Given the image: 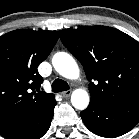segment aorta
Returning a JSON list of instances; mask_svg holds the SVG:
<instances>
[{
  "instance_id": "1",
  "label": "aorta",
  "mask_w": 139,
  "mask_h": 139,
  "mask_svg": "<svg viewBox=\"0 0 139 139\" xmlns=\"http://www.w3.org/2000/svg\"><path fill=\"white\" fill-rule=\"evenodd\" d=\"M55 70L63 77L75 80L79 77V67L74 58L66 52H58L52 58ZM89 95L84 89H76L71 95V103L78 110H84L89 105Z\"/></svg>"
}]
</instances>
